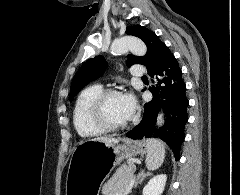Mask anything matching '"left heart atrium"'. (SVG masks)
Here are the masks:
<instances>
[{
  "label": "left heart atrium",
  "instance_id": "obj_1",
  "mask_svg": "<svg viewBox=\"0 0 240 195\" xmlns=\"http://www.w3.org/2000/svg\"><path fill=\"white\" fill-rule=\"evenodd\" d=\"M122 101H123L127 118L128 120H131L135 116V113L137 110L136 99L132 94L126 93L122 96Z\"/></svg>",
  "mask_w": 240,
  "mask_h": 195
}]
</instances>
